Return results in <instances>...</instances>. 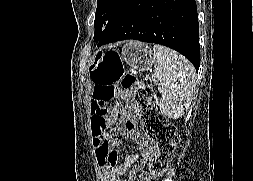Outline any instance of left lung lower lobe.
<instances>
[{
    "instance_id": "obj_1",
    "label": "left lung lower lobe",
    "mask_w": 253,
    "mask_h": 181,
    "mask_svg": "<svg viewBox=\"0 0 253 181\" xmlns=\"http://www.w3.org/2000/svg\"><path fill=\"white\" fill-rule=\"evenodd\" d=\"M136 39L183 54L198 71L199 26L195 0H131L98 46Z\"/></svg>"
}]
</instances>
